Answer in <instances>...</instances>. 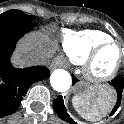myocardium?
<instances>
[{"mask_svg":"<svg viewBox=\"0 0 124 124\" xmlns=\"http://www.w3.org/2000/svg\"><path fill=\"white\" fill-rule=\"evenodd\" d=\"M110 46H114L118 49L119 60L116 64V66L113 68V70L110 73H108L104 76H98L93 72L94 62H95L96 58L98 57V55L105 48L110 47ZM123 64H124V49L117 42L110 40V41H105V42L98 44L91 50V52L88 54L85 61L83 62L82 71H83V75H84L85 79L88 82H90L94 85H102V84H106V83L112 81L118 75Z\"/></svg>","mask_w":124,"mask_h":124,"instance_id":"f54148a6","label":"myocardium"}]
</instances>
